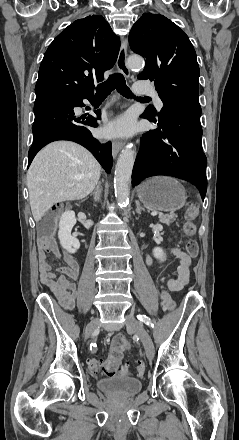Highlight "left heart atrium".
Here are the masks:
<instances>
[{
	"label": "left heart atrium",
	"instance_id": "obj_1",
	"mask_svg": "<svg viewBox=\"0 0 239 440\" xmlns=\"http://www.w3.org/2000/svg\"><path fill=\"white\" fill-rule=\"evenodd\" d=\"M135 130V121L130 115H122L104 127L109 136H126Z\"/></svg>",
	"mask_w": 239,
	"mask_h": 440
}]
</instances>
